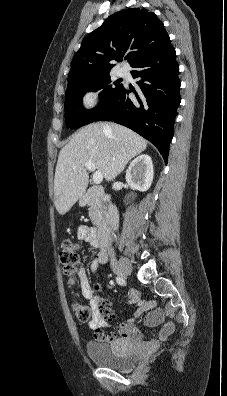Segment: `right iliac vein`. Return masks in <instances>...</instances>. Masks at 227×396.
I'll return each instance as SVG.
<instances>
[{
  "label": "right iliac vein",
  "instance_id": "1",
  "mask_svg": "<svg viewBox=\"0 0 227 396\" xmlns=\"http://www.w3.org/2000/svg\"><path fill=\"white\" fill-rule=\"evenodd\" d=\"M111 265L113 271L121 278L125 279L129 276L130 269L127 261L125 260L113 261Z\"/></svg>",
  "mask_w": 227,
  "mask_h": 396
}]
</instances>
